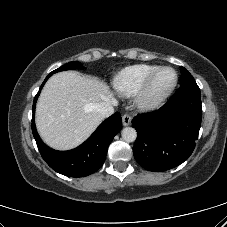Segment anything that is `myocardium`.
Returning <instances> with one entry per match:
<instances>
[{
	"label": "myocardium",
	"instance_id": "myocardium-1",
	"mask_svg": "<svg viewBox=\"0 0 227 227\" xmlns=\"http://www.w3.org/2000/svg\"><path fill=\"white\" fill-rule=\"evenodd\" d=\"M164 70H171L174 73L175 75L174 82L170 87H168L164 91L155 93L153 91L154 82L157 76ZM177 83L178 73L174 68L169 66L158 67L154 72H152L147 77L139 91L136 93L135 103L137 107L143 111H152L159 108L172 94V92L177 86Z\"/></svg>",
	"mask_w": 227,
	"mask_h": 227
}]
</instances>
